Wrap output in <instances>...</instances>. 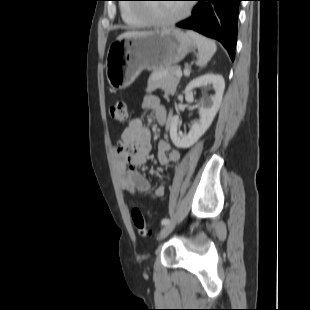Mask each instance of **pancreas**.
<instances>
[{"label": "pancreas", "instance_id": "pancreas-1", "mask_svg": "<svg viewBox=\"0 0 310 310\" xmlns=\"http://www.w3.org/2000/svg\"><path fill=\"white\" fill-rule=\"evenodd\" d=\"M180 70L178 66H171L165 69L154 71L148 79L147 92H153L156 89L164 91L165 96L174 95L180 78L176 72Z\"/></svg>", "mask_w": 310, "mask_h": 310}]
</instances>
